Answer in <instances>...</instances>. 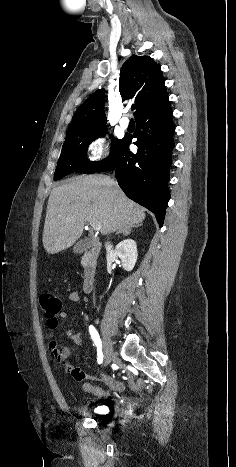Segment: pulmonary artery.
<instances>
[{"label": "pulmonary artery", "instance_id": "e3ab8cb5", "mask_svg": "<svg viewBox=\"0 0 236 467\" xmlns=\"http://www.w3.org/2000/svg\"><path fill=\"white\" fill-rule=\"evenodd\" d=\"M119 124L123 129H127L129 127V119L127 117H122Z\"/></svg>", "mask_w": 236, "mask_h": 467}]
</instances>
